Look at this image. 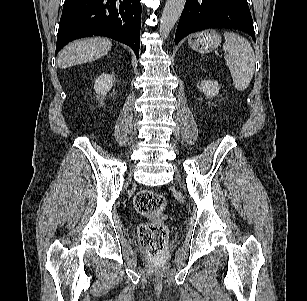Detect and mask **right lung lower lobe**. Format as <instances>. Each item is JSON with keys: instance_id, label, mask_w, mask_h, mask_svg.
Wrapping results in <instances>:
<instances>
[{"instance_id": "98d812e1", "label": "right lung lower lobe", "mask_w": 307, "mask_h": 301, "mask_svg": "<svg viewBox=\"0 0 307 301\" xmlns=\"http://www.w3.org/2000/svg\"><path fill=\"white\" fill-rule=\"evenodd\" d=\"M140 28V0H65L56 54L74 39L100 35L129 45L138 58Z\"/></svg>"}]
</instances>
